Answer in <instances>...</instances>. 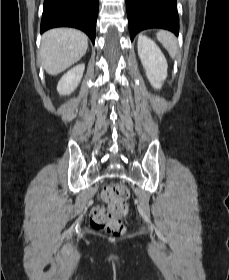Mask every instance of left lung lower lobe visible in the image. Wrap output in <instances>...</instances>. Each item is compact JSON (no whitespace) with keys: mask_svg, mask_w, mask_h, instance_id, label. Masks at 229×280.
Returning <instances> with one entry per match:
<instances>
[{"mask_svg":"<svg viewBox=\"0 0 229 280\" xmlns=\"http://www.w3.org/2000/svg\"><path fill=\"white\" fill-rule=\"evenodd\" d=\"M131 40L149 28H163L179 33V16L176 0H126Z\"/></svg>","mask_w":229,"mask_h":280,"instance_id":"left-lung-lower-lobe-1","label":"left lung lower lobe"}]
</instances>
